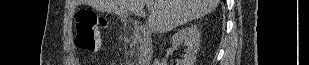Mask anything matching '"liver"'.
Masks as SVG:
<instances>
[{
	"label": "liver",
	"mask_w": 309,
	"mask_h": 65,
	"mask_svg": "<svg viewBox=\"0 0 309 65\" xmlns=\"http://www.w3.org/2000/svg\"><path fill=\"white\" fill-rule=\"evenodd\" d=\"M145 2L149 6L148 25L164 33L213 11L219 0H89L88 4L102 12L123 15L133 12L145 17Z\"/></svg>",
	"instance_id": "liver-1"
}]
</instances>
